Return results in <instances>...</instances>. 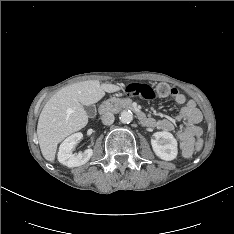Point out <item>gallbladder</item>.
Masks as SVG:
<instances>
[{"instance_id": "1", "label": "gallbladder", "mask_w": 234, "mask_h": 234, "mask_svg": "<svg viewBox=\"0 0 234 234\" xmlns=\"http://www.w3.org/2000/svg\"><path fill=\"white\" fill-rule=\"evenodd\" d=\"M84 109L89 116H93L95 114L94 106H85Z\"/></svg>"}]
</instances>
